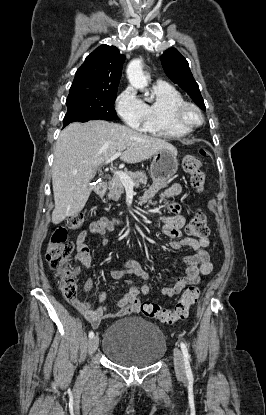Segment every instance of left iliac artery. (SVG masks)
<instances>
[{"label": "left iliac artery", "mask_w": 266, "mask_h": 415, "mask_svg": "<svg viewBox=\"0 0 266 415\" xmlns=\"http://www.w3.org/2000/svg\"><path fill=\"white\" fill-rule=\"evenodd\" d=\"M180 346H181V350H182V353H183V356H184L186 373H187V375H191V367H190V362H189L190 361V355L188 353L187 346L184 342H181Z\"/></svg>", "instance_id": "1"}]
</instances>
